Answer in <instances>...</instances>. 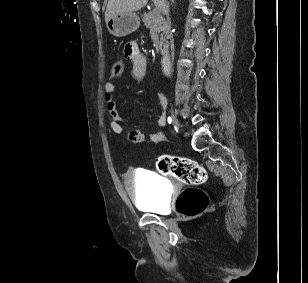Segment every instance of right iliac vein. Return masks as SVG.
<instances>
[{
	"mask_svg": "<svg viewBox=\"0 0 308 283\" xmlns=\"http://www.w3.org/2000/svg\"><path fill=\"white\" fill-rule=\"evenodd\" d=\"M171 118H172V122H173V125L178 128L179 127V123H178V120L176 119L174 113H173V110H172V114H171Z\"/></svg>",
	"mask_w": 308,
	"mask_h": 283,
	"instance_id": "63e3f726",
	"label": "right iliac vein"
}]
</instances>
